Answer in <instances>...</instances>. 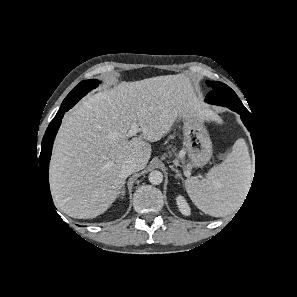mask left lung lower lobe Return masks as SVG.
Segmentation results:
<instances>
[{
	"instance_id": "obj_1",
	"label": "left lung lower lobe",
	"mask_w": 297,
	"mask_h": 297,
	"mask_svg": "<svg viewBox=\"0 0 297 297\" xmlns=\"http://www.w3.org/2000/svg\"><path fill=\"white\" fill-rule=\"evenodd\" d=\"M238 114L241 115V119L243 121V123L245 124V126L247 127V129L250 131L252 140H253V144H254V150H255V155H256V168L258 165V144H257V139H256V135H255V128H254V122H253V117L251 116V113H244L241 112L239 110L236 111Z\"/></svg>"
}]
</instances>
